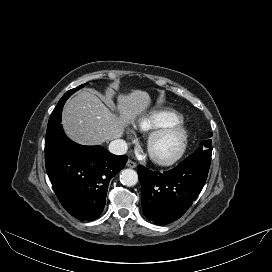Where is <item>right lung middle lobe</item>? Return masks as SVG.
<instances>
[{
  "label": "right lung middle lobe",
  "instance_id": "obj_1",
  "mask_svg": "<svg viewBox=\"0 0 272 272\" xmlns=\"http://www.w3.org/2000/svg\"><path fill=\"white\" fill-rule=\"evenodd\" d=\"M84 86H85V84L80 85L77 88L67 91L63 95V97L60 99L57 106L55 107L54 111L52 112V115H51L49 122H48L46 134L51 133L54 129H56L60 125L62 108H63V105L66 102V100L69 98V96Z\"/></svg>",
  "mask_w": 272,
  "mask_h": 272
}]
</instances>
